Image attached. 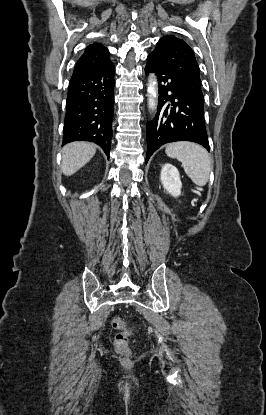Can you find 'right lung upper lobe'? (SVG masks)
Wrapping results in <instances>:
<instances>
[{
  "instance_id": "right-lung-upper-lobe-1",
  "label": "right lung upper lobe",
  "mask_w": 266,
  "mask_h": 415,
  "mask_svg": "<svg viewBox=\"0 0 266 415\" xmlns=\"http://www.w3.org/2000/svg\"><path fill=\"white\" fill-rule=\"evenodd\" d=\"M112 65L108 49L101 44L89 45L78 60L72 78L89 75Z\"/></svg>"
}]
</instances>
